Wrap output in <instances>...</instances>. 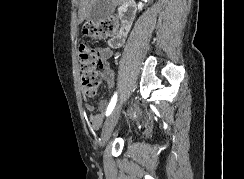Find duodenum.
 <instances>
[{"label": "duodenum", "mask_w": 244, "mask_h": 179, "mask_svg": "<svg viewBox=\"0 0 244 179\" xmlns=\"http://www.w3.org/2000/svg\"><path fill=\"white\" fill-rule=\"evenodd\" d=\"M135 14L136 2L134 0H123L118 10L120 19H122L125 24H128L134 19Z\"/></svg>", "instance_id": "duodenum-1"}]
</instances>
